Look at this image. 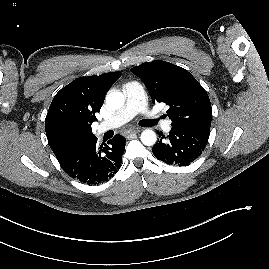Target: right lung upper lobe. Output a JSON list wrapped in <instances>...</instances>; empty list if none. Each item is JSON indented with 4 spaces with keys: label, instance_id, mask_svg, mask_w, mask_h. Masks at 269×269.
<instances>
[{
    "label": "right lung upper lobe",
    "instance_id": "right-lung-upper-lobe-1",
    "mask_svg": "<svg viewBox=\"0 0 269 269\" xmlns=\"http://www.w3.org/2000/svg\"><path fill=\"white\" fill-rule=\"evenodd\" d=\"M120 72L77 78L53 98L45 119L48 143L58 161L93 140L91 124L97 120L107 90Z\"/></svg>",
    "mask_w": 269,
    "mask_h": 269
}]
</instances>
